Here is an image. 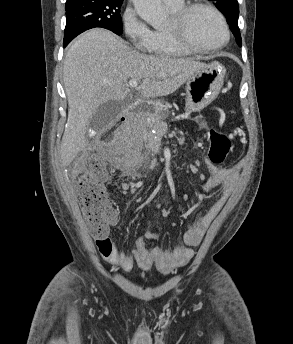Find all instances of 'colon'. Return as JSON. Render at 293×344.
<instances>
[{"instance_id":"colon-1","label":"colon","mask_w":293,"mask_h":344,"mask_svg":"<svg viewBox=\"0 0 293 344\" xmlns=\"http://www.w3.org/2000/svg\"><path fill=\"white\" fill-rule=\"evenodd\" d=\"M106 137H110V134ZM209 141V161L214 165L222 164L230 152V139L220 131L210 130ZM109 175L104 160L99 155H91L87 159L85 172L77 183V194L83 214L91 235L96 238L105 237L109 227L117 220V212L104 188V181Z\"/></svg>"}]
</instances>
